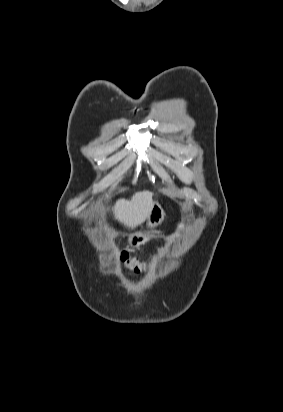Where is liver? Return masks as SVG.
Wrapping results in <instances>:
<instances>
[{"instance_id": "liver-1", "label": "liver", "mask_w": 283, "mask_h": 412, "mask_svg": "<svg viewBox=\"0 0 283 412\" xmlns=\"http://www.w3.org/2000/svg\"><path fill=\"white\" fill-rule=\"evenodd\" d=\"M153 203L151 192H137L130 200L116 201L113 207L114 217L124 226L134 229L148 219Z\"/></svg>"}]
</instances>
